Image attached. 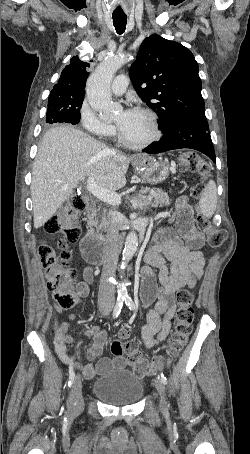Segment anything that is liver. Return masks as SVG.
Instances as JSON below:
<instances>
[{
	"mask_svg": "<svg viewBox=\"0 0 250 454\" xmlns=\"http://www.w3.org/2000/svg\"><path fill=\"white\" fill-rule=\"evenodd\" d=\"M135 157L113 153L105 144L72 127L47 131L32 169L35 229L72 196L80 181L94 178L99 187L109 191L124 187L128 165Z\"/></svg>",
	"mask_w": 250,
	"mask_h": 454,
	"instance_id": "obj_1",
	"label": "liver"
}]
</instances>
